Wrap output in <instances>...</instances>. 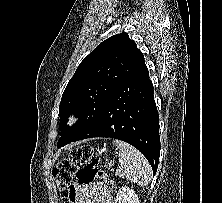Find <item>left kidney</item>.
Segmentation results:
<instances>
[{
  "instance_id": "1",
  "label": "left kidney",
  "mask_w": 222,
  "mask_h": 203,
  "mask_svg": "<svg viewBox=\"0 0 222 203\" xmlns=\"http://www.w3.org/2000/svg\"><path fill=\"white\" fill-rule=\"evenodd\" d=\"M114 203H140V201L134 190L125 186L119 189Z\"/></svg>"
}]
</instances>
